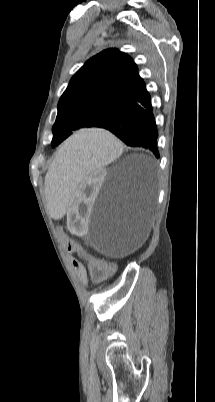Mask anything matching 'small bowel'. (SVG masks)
Returning <instances> with one entry per match:
<instances>
[{
  "label": "small bowel",
  "instance_id": "small-bowel-1",
  "mask_svg": "<svg viewBox=\"0 0 215 402\" xmlns=\"http://www.w3.org/2000/svg\"><path fill=\"white\" fill-rule=\"evenodd\" d=\"M81 278L83 279V281H85V279H86L85 278V272L83 270L81 271Z\"/></svg>",
  "mask_w": 215,
  "mask_h": 402
}]
</instances>
